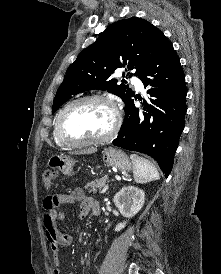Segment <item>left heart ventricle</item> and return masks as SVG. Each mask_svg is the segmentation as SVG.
Listing matches in <instances>:
<instances>
[{
    "instance_id": "1",
    "label": "left heart ventricle",
    "mask_w": 221,
    "mask_h": 274,
    "mask_svg": "<svg viewBox=\"0 0 221 274\" xmlns=\"http://www.w3.org/2000/svg\"><path fill=\"white\" fill-rule=\"evenodd\" d=\"M114 115L111 108L100 102L76 105L65 116L64 131L72 139H92L105 135Z\"/></svg>"
}]
</instances>
